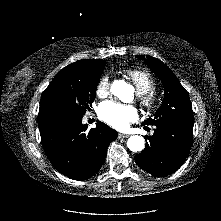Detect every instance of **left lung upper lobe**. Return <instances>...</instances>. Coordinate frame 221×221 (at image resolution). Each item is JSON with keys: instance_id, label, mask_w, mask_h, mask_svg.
<instances>
[{"instance_id": "5c2ea615", "label": "left lung upper lobe", "mask_w": 221, "mask_h": 221, "mask_svg": "<svg viewBox=\"0 0 221 221\" xmlns=\"http://www.w3.org/2000/svg\"><path fill=\"white\" fill-rule=\"evenodd\" d=\"M145 59V63L162 81L165 96L161 107L153 118H149L142 125H158L161 123L193 124L194 117L187 91L181 85L172 71L159 59L144 55H138Z\"/></svg>"}]
</instances>
